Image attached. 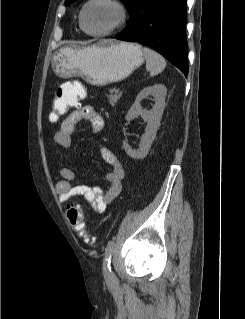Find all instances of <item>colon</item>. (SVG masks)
<instances>
[{
	"instance_id": "obj_1",
	"label": "colon",
	"mask_w": 245,
	"mask_h": 319,
	"mask_svg": "<svg viewBox=\"0 0 245 319\" xmlns=\"http://www.w3.org/2000/svg\"><path fill=\"white\" fill-rule=\"evenodd\" d=\"M83 96V89L80 86L73 92L59 89L54 99L53 114L56 117L66 114L71 108L77 107ZM67 218L72 228L81 236L87 238L85 220L82 208L76 203L67 206Z\"/></svg>"
}]
</instances>
